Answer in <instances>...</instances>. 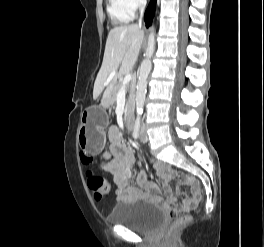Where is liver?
Segmentation results:
<instances>
[{
	"label": "liver",
	"instance_id": "6515ba94",
	"mask_svg": "<svg viewBox=\"0 0 264 247\" xmlns=\"http://www.w3.org/2000/svg\"><path fill=\"white\" fill-rule=\"evenodd\" d=\"M143 40L144 32L137 25L120 26L110 30L102 66L94 83V99L104 90L111 73L116 74L103 94L104 101L110 96L117 78L129 75L138 59Z\"/></svg>",
	"mask_w": 264,
	"mask_h": 247
}]
</instances>
